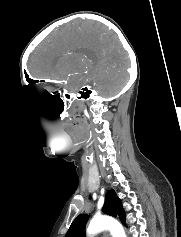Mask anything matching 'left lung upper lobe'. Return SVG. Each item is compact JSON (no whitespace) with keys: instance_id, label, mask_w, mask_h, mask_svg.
I'll return each instance as SVG.
<instances>
[{"instance_id":"obj_1","label":"left lung upper lobe","mask_w":181,"mask_h":237,"mask_svg":"<svg viewBox=\"0 0 181 237\" xmlns=\"http://www.w3.org/2000/svg\"><path fill=\"white\" fill-rule=\"evenodd\" d=\"M103 211L105 214L114 217L118 216L122 223L126 225V214L122 207L121 200L116 196L113 190H109L106 194ZM88 219V214H81L75 218L65 237H85V226Z\"/></svg>"}]
</instances>
